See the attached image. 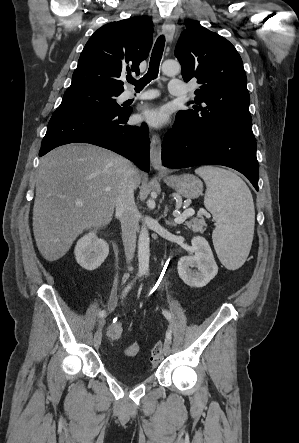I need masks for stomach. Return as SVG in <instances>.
Returning a JSON list of instances; mask_svg holds the SVG:
<instances>
[{"mask_svg":"<svg viewBox=\"0 0 299 443\" xmlns=\"http://www.w3.org/2000/svg\"><path fill=\"white\" fill-rule=\"evenodd\" d=\"M164 182L185 198H198L203 192V184L199 178L191 174L163 176Z\"/></svg>","mask_w":299,"mask_h":443,"instance_id":"1","label":"stomach"}]
</instances>
